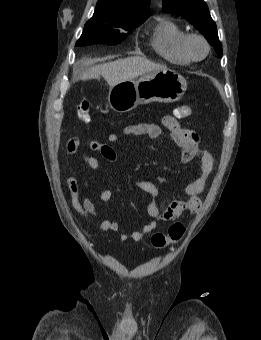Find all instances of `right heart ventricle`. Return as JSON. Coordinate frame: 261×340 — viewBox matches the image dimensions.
<instances>
[{
	"mask_svg": "<svg viewBox=\"0 0 261 340\" xmlns=\"http://www.w3.org/2000/svg\"><path fill=\"white\" fill-rule=\"evenodd\" d=\"M186 30L171 19L161 20L151 36L152 49L163 59L177 65H188L193 60L186 54L183 41Z\"/></svg>",
	"mask_w": 261,
	"mask_h": 340,
	"instance_id": "1",
	"label": "right heart ventricle"
}]
</instances>
